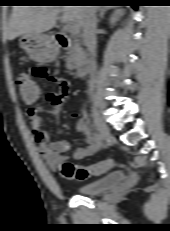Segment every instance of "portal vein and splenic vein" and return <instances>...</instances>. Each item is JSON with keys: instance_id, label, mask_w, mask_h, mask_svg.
<instances>
[{"instance_id": "18ae733b", "label": "portal vein and splenic vein", "mask_w": 170, "mask_h": 231, "mask_svg": "<svg viewBox=\"0 0 170 231\" xmlns=\"http://www.w3.org/2000/svg\"><path fill=\"white\" fill-rule=\"evenodd\" d=\"M67 28L71 34H77L79 32V27L75 23L69 22Z\"/></svg>"}]
</instances>
